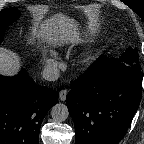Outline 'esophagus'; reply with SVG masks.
I'll use <instances>...</instances> for the list:
<instances>
[{"instance_id":"1","label":"esophagus","mask_w":144,"mask_h":144,"mask_svg":"<svg viewBox=\"0 0 144 144\" xmlns=\"http://www.w3.org/2000/svg\"><path fill=\"white\" fill-rule=\"evenodd\" d=\"M67 93H68V91L66 89H63V90L60 91L59 98H60L61 101L66 100Z\"/></svg>"}]
</instances>
